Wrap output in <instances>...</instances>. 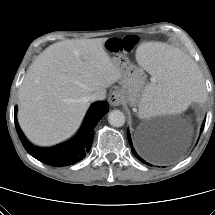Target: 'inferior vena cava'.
Wrapping results in <instances>:
<instances>
[{
  "label": "inferior vena cava",
  "instance_id": "602c4592",
  "mask_svg": "<svg viewBox=\"0 0 215 215\" xmlns=\"http://www.w3.org/2000/svg\"><path fill=\"white\" fill-rule=\"evenodd\" d=\"M105 97H106V91H98L91 95L90 100L99 101V100H104Z\"/></svg>",
  "mask_w": 215,
  "mask_h": 215
}]
</instances>
